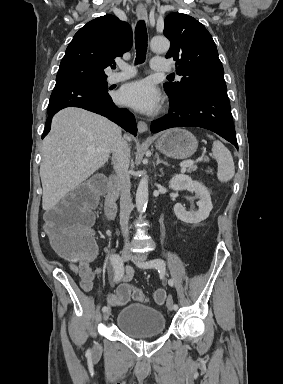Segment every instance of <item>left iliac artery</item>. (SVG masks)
Masks as SVG:
<instances>
[{"label": "left iliac artery", "mask_w": 283, "mask_h": 384, "mask_svg": "<svg viewBox=\"0 0 283 384\" xmlns=\"http://www.w3.org/2000/svg\"><path fill=\"white\" fill-rule=\"evenodd\" d=\"M142 267H144V268H156L159 273H164L165 270H166V264H165L164 260H162V259L150 260V261H148L146 263H143ZM168 284L170 286H173V284H174L173 280L170 279L168 281ZM173 308H174V310H177L179 307H178L177 304H174Z\"/></svg>", "instance_id": "left-iliac-artery-1"}]
</instances>
